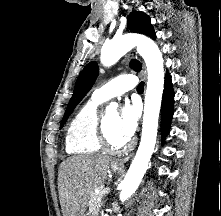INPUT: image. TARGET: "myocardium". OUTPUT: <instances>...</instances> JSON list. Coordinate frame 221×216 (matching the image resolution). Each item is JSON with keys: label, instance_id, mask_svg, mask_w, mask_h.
Wrapping results in <instances>:
<instances>
[{"label": "myocardium", "instance_id": "obj_1", "mask_svg": "<svg viewBox=\"0 0 221 216\" xmlns=\"http://www.w3.org/2000/svg\"><path fill=\"white\" fill-rule=\"evenodd\" d=\"M99 138H100V142H101L102 147L110 152L118 153V152L126 151L130 147L129 141H125L120 144H115L111 141V139L107 133V130H106L105 118H102L100 120Z\"/></svg>", "mask_w": 221, "mask_h": 216}]
</instances>
